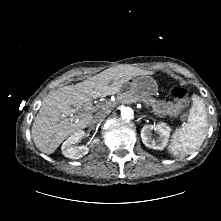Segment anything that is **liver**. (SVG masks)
Returning a JSON list of instances; mask_svg holds the SVG:
<instances>
[{
	"label": "liver",
	"instance_id": "6515ba94",
	"mask_svg": "<svg viewBox=\"0 0 221 221\" xmlns=\"http://www.w3.org/2000/svg\"><path fill=\"white\" fill-rule=\"evenodd\" d=\"M136 75L130 69L108 68L83 82L51 91L34 119L31 134L35 146L43 153L52 154L68 136L93 121L94 98L119 92Z\"/></svg>",
	"mask_w": 221,
	"mask_h": 221
}]
</instances>
